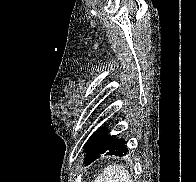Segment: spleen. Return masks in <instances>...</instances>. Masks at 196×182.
Wrapping results in <instances>:
<instances>
[{
    "mask_svg": "<svg viewBox=\"0 0 196 182\" xmlns=\"http://www.w3.org/2000/svg\"><path fill=\"white\" fill-rule=\"evenodd\" d=\"M94 182H132L131 176L124 166L108 165Z\"/></svg>",
    "mask_w": 196,
    "mask_h": 182,
    "instance_id": "obj_1",
    "label": "spleen"
}]
</instances>
